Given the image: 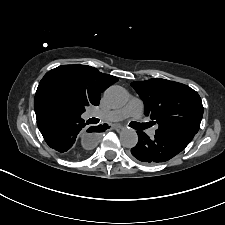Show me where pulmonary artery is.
<instances>
[{"mask_svg": "<svg viewBox=\"0 0 225 225\" xmlns=\"http://www.w3.org/2000/svg\"><path fill=\"white\" fill-rule=\"evenodd\" d=\"M144 104L141 99L133 97L122 108L112 111H94L91 113V117L98 118L106 122H115L125 119L127 117H133L139 119L143 113ZM156 128H152L148 131L149 136L155 135Z\"/></svg>", "mask_w": 225, "mask_h": 225, "instance_id": "pulmonary-artery-1", "label": "pulmonary artery"}]
</instances>
